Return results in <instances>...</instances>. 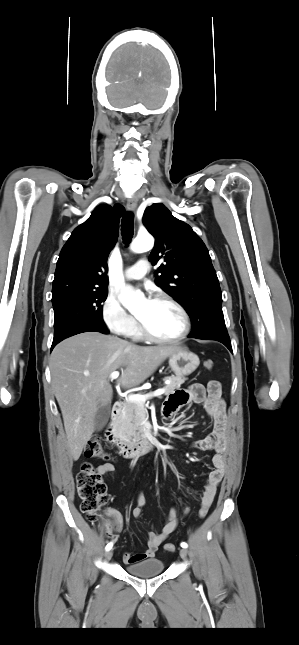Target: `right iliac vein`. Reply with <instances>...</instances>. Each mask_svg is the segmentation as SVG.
I'll return each mask as SVG.
<instances>
[{"mask_svg": "<svg viewBox=\"0 0 299 645\" xmlns=\"http://www.w3.org/2000/svg\"><path fill=\"white\" fill-rule=\"evenodd\" d=\"M112 556H113V551H112V550H108V551L105 553V558H106V560H110V559L112 558Z\"/></svg>", "mask_w": 299, "mask_h": 645, "instance_id": "1", "label": "right iliac vein"}]
</instances>
